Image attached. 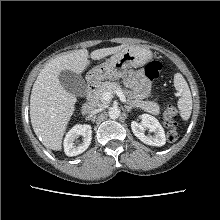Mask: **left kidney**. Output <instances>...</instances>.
<instances>
[{
	"mask_svg": "<svg viewBox=\"0 0 220 220\" xmlns=\"http://www.w3.org/2000/svg\"><path fill=\"white\" fill-rule=\"evenodd\" d=\"M140 122L132 121L131 128L134 135L143 143L151 146H163L166 143V137L164 129L162 128L159 121L148 114H143L140 117ZM149 129L153 132V136H147L144 134L145 129Z\"/></svg>",
	"mask_w": 220,
	"mask_h": 220,
	"instance_id": "1",
	"label": "left kidney"
}]
</instances>
